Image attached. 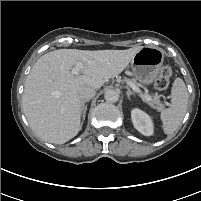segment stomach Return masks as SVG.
<instances>
[{
    "mask_svg": "<svg viewBox=\"0 0 201 201\" xmlns=\"http://www.w3.org/2000/svg\"><path fill=\"white\" fill-rule=\"evenodd\" d=\"M163 52L155 47H142L131 60V70L142 84H151L163 65Z\"/></svg>",
    "mask_w": 201,
    "mask_h": 201,
    "instance_id": "0dacf381",
    "label": "stomach"
}]
</instances>
